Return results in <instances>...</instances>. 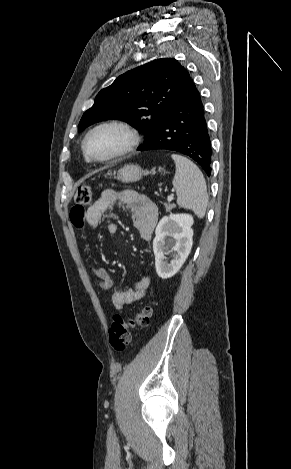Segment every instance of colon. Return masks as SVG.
<instances>
[{"mask_svg":"<svg viewBox=\"0 0 291 469\" xmlns=\"http://www.w3.org/2000/svg\"><path fill=\"white\" fill-rule=\"evenodd\" d=\"M77 205L72 209L71 214L79 217L84 210V206H88L93 201V193L90 187H78L75 195ZM152 308L146 304L132 316L124 314H116L109 327V342L114 350L124 351L131 343V331L136 327H145L150 321Z\"/></svg>","mask_w":291,"mask_h":469,"instance_id":"colon-1","label":"colon"}]
</instances>
